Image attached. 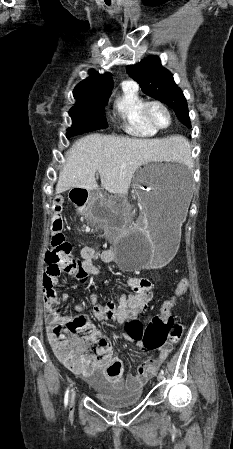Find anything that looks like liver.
<instances>
[{"mask_svg": "<svg viewBox=\"0 0 233 449\" xmlns=\"http://www.w3.org/2000/svg\"><path fill=\"white\" fill-rule=\"evenodd\" d=\"M185 148V140L178 133H163L161 139L87 135L75 141L67 151L56 193L71 188L96 189L95 173L98 172L105 190L126 195L140 166L174 160Z\"/></svg>", "mask_w": 233, "mask_h": 449, "instance_id": "obj_1", "label": "liver"}]
</instances>
